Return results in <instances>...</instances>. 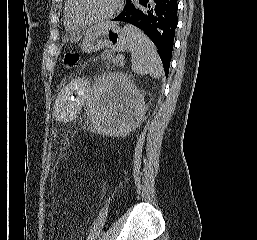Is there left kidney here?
Here are the masks:
<instances>
[{
  "mask_svg": "<svg viewBox=\"0 0 257 240\" xmlns=\"http://www.w3.org/2000/svg\"><path fill=\"white\" fill-rule=\"evenodd\" d=\"M88 115L96 132L122 136L135 129L145 115V102L123 73H107L93 85Z\"/></svg>",
  "mask_w": 257,
  "mask_h": 240,
  "instance_id": "left-kidney-1",
  "label": "left kidney"
}]
</instances>
